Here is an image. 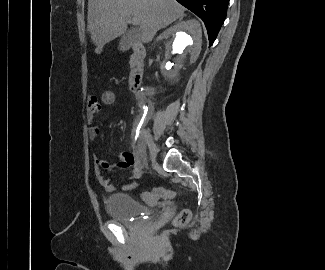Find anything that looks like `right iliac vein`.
Segmentation results:
<instances>
[{"label":"right iliac vein","instance_id":"right-iliac-vein-1","mask_svg":"<svg viewBox=\"0 0 325 270\" xmlns=\"http://www.w3.org/2000/svg\"><path fill=\"white\" fill-rule=\"evenodd\" d=\"M149 151H150V155H151L152 159H155V157L158 153V148H157L156 144L154 143V141L152 140L151 136H150Z\"/></svg>","mask_w":325,"mask_h":270}]
</instances>
